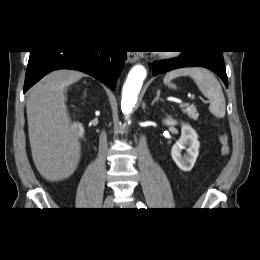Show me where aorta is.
I'll return each instance as SVG.
<instances>
[{
    "instance_id": "1",
    "label": "aorta",
    "mask_w": 260,
    "mask_h": 260,
    "mask_svg": "<svg viewBox=\"0 0 260 260\" xmlns=\"http://www.w3.org/2000/svg\"><path fill=\"white\" fill-rule=\"evenodd\" d=\"M147 71L143 65H135L129 72L122 89L121 109L128 119L137 103L138 94L146 78Z\"/></svg>"
}]
</instances>
